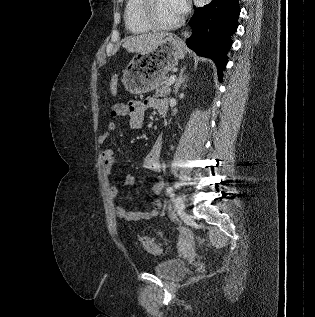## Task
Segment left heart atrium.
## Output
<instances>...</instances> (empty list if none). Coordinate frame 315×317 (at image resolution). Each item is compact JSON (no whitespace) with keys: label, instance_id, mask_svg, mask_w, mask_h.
Masks as SVG:
<instances>
[{"label":"left heart atrium","instance_id":"1","mask_svg":"<svg viewBox=\"0 0 315 317\" xmlns=\"http://www.w3.org/2000/svg\"><path fill=\"white\" fill-rule=\"evenodd\" d=\"M176 11L182 15L188 8L187 0H172Z\"/></svg>","mask_w":315,"mask_h":317}]
</instances>
